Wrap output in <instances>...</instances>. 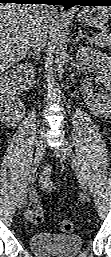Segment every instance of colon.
Segmentation results:
<instances>
[{
  "label": "colon",
  "instance_id": "1",
  "mask_svg": "<svg viewBox=\"0 0 111 257\" xmlns=\"http://www.w3.org/2000/svg\"><path fill=\"white\" fill-rule=\"evenodd\" d=\"M59 227L62 231L66 232V233H70V232L74 231L75 224L71 220H62L59 222Z\"/></svg>",
  "mask_w": 111,
  "mask_h": 257
}]
</instances>
